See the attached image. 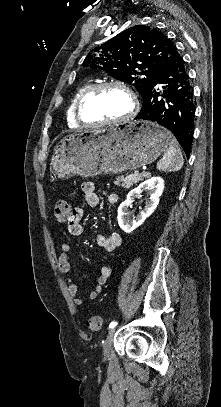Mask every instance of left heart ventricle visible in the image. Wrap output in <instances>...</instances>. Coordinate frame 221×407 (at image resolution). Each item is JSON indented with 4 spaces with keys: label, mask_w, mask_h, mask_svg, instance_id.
<instances>
[{
    "label": "left heart ventricle",
    "mask_w": 221,
    "mask_h": 407,
    "mask_svg": "<svg viewBox=\"0 0 221 407\" xmlns=\"http://www.w3.org/2000/svg\"><path fill=\"white\" fill-rule=\"evenodd\" d=\"M130 109L131 99L125 91L107 88L90 99L84 112L91 121H107L126 115Z\"/></svg>",
    "instance_id": "left-heart-ventricle-1"
}]
</instances>
